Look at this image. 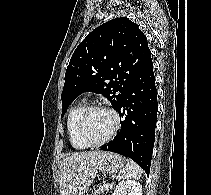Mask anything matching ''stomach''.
I'll return each mask as SVG.
<instances>
[{"instance_id":"stomach-1","label":"stomach","mask_w":211,"mask_h":195,"mask_svg":"<svg viewBox=\"0 0 211 195\" xmlns=\"http://www.w3.org/2000/svg\"><path fill=\"white\" fill-rule=\"evenodd\" d=\"M125 158L112 152H104L96 161V166L89 180L93 181L98 172L102 174H114L123 169Z\"/></svg>"}]
</instances>
